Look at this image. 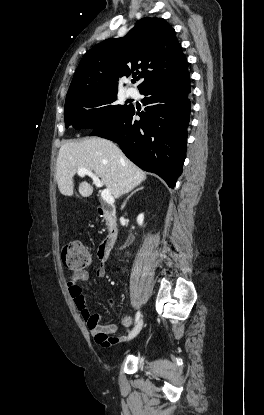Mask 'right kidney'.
<instances>
[{
    "label": "right kidney",
    "mask_w": 264,
    "mask_h": 415,
    "mask_svg": "<svg viewBox=\"0 0 264 415\" xmlns=\"http://www.w3.org/2000/svg\"><path fill=\"white\" fill-rule=\"evenodd\" d=\"M143 221H144V215H143V214H140V215L137 217V223H138L140 226H142Z\"/></svg>",
    "instance_id": "ca27d5eb"
}]
</instances>
